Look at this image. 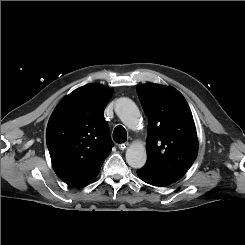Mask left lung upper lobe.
Here are the masks:
<instances>
[{"mask_svg":"<svg viewBox=\"0 0 245 245\" xmlns=\"http://www.w3.org/2000/svg\"><path fill=\"white\" fill-rule=\"evenodd\" d=\"M148 116L145 168L182 178L197 157L198 138L189 105L173 87L145 84L137 87Z\"/></svg>","mask_w":245,"mask_h":245,"instance_id":"5c2ea615","label":"left lung upper lobe"}]
</instances>
